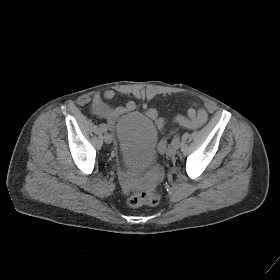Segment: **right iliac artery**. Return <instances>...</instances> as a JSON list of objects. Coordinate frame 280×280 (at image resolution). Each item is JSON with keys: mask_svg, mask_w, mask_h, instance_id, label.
I'll return each instance as SVG.
<instances>
[{"mask_svg": "<svg viewBox=\"0 0 280 280\" xmlns=\"http://www.w3.org/2000/svg\"><path fill=\"white\" fill-rule=\"evenodd\" d=\"M100 129H101L103 132H106V131H107V126H106V124H104V123L100 124Z\"/></svg>", "mask_w": 280, "mask_h": 280, "instance_id": "right-iliac-artery-1", "label": "right iliac artery"}]
</instances>
